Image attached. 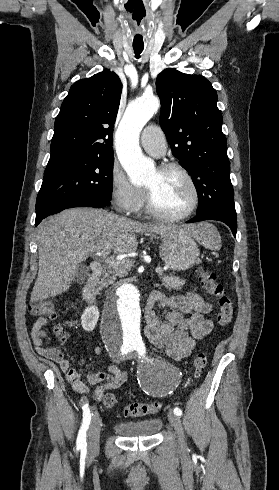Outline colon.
<instances>
[{"label":"colon","instance_id":"1","mask_svg":"<svg viewBox=\"0 0 279 490\" xmlns=\"http://www.w3.org/2000/svg\"><path fill=\"white\" fill-rule=\"evenodd\" d=\"M199 279L203 289L215 300L218 304L216 313V321L220 326H228L232 321L233 305L231 298L226 294L222 284L217 281L215 275L207 269H202L199 273ZM28 311L30 315L38 318H45L52 322L57 318V312L53 304L49 301L33 302ZM51 332L54 334L53 330ZM56 338H69V329H56ZM207 364V358L203 354H199L193 361L194 372L196 375H201ZM104 407L113 409L117 404V398L112 392H107L103 397ZM161 409V403L157 400H149L142 402H132L126 405L124 415L128 417H141L156 414Z\"/></svg>","mask_w":279,"mask_h":490}]
</instances>
